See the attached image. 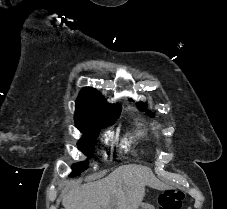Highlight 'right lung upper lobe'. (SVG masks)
<instances>
[{"mask_svg":"<svg viewBox=\"0 0 227 209\" xmlns=\"http://www.w3.org/2000/svg\"><path fill=\"white\" fill-rule=\"evenodd\" d=\"M120 112L119 104H108L96 89L85 87L76 100L75 120L87 117L117 119Z\"/></svg>","mask_w":227,"mask_h":209,"instance_id":"right-lung-upper-lobe-1","label":"right lung upper lobe"}]
</instances>
